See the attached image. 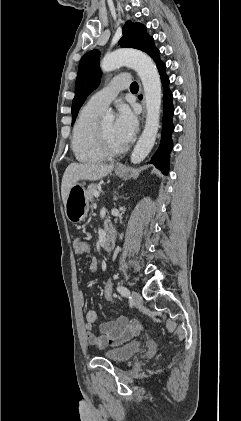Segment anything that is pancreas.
<instances>
[{"label": "pancreas", "mask_w": 241, "mask_h": 421, "mask_svg": "<svg viewBox=\"0 0 241 421\" xmlns=\"http://www.w3.org/2000/svg\"><path fill=\"white\" fill-rule=\"evenodd\" d=\"M100 185L98 184H90L86 190V199L88 201H92L94 198V192L98 190Z\"/></svg>", "instance_id": "pancreas-1"}]
</instances>
